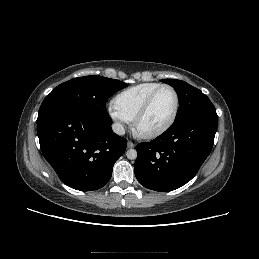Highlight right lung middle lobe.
<instances>
[{
  "label": "right lung middle lobe",
  "instance_id": "dd1d6c3e",
  "mask_svg": "<svg viewBox=\"0 0 259 259\" xmlns=\"http://www.w3.org/2000/svg\"><path fill=\"white\" fill-rule=\"evenodd\" d=\"M127 84L102 76H85L71 79L54 88L48 94L38 113V117L62 107H78L86 111L107 115V100Z\"/></svg>",
  "mask_w": 259,
  "mask_h": 259
}]
</instances>
